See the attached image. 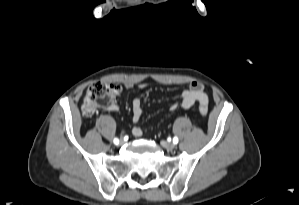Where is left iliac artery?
Listing matches in <instances>:
<instances>
[{"label":"left iliac artery","mask_w":299,"mask_h":205,"mask_svg":"<svg viewBox=\"0 0 299 205\" xmlns=\"http://www.w3.org/2000/svg\"><path fill=\"white\" fill-rule=\"evenodd\" d=\"M173 143H174V144H177V143H178V138H177V137H174V138H173Z\"/></svg>","instance_id":"left-iliac-artery-1"}]
</instances>
